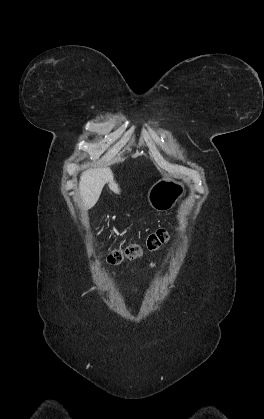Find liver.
Segmentation results:
<instances>
[{
    "label": "liver",
    "instance_id": "1",
    "mask_svg": "<svg viewBox=\"0 0 264 419\" xmlns=\"http://www.w3.org/2000/svg\"><path fill=\"white\" fill-rule=\"evenodd\" d=\"M106 183L114 193L120 194L110 168H91L82 173L79 190L85 208H91L96 204Z\"/></svg>",
    "mask_w": 264,
    "mask_h": 419
}]
</instances>
